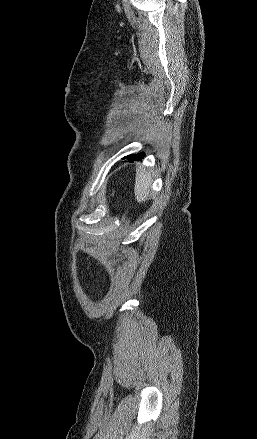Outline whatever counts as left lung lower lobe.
Here are the masks:
<instances>
[{
	"mask_svg": "<svg viewBox=\"0 0 257 439\" xmlns=\"http://www.w3.org/2000/svg\"><path fill=\"white\" fill-rule=\"evenodd\" d=\"M145 154L144 153H138V154H134V155H129L127 157H124V159L127 158V161L130 163H133L134 161H139L142 158H144Z\"/></svg>",
	"mask_w": 257,
	"mask_h": 439,
	"instance_id": "1",
	"label": "left lung lower lobe"
}]
</instances>
